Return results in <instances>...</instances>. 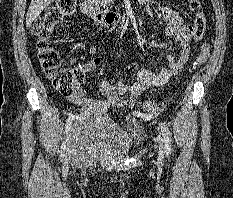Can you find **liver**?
Returning <instances> with one entry per match:
<instances>
[{"mask_svg":"<svg viewBox=\"0 0 233 198\" xmlns=\"http://www.w3.org/2000/svg\"><path fill=\"white\" fill-rule=\"evenodd\" d=\"M53 1L54 0H31V4L26 15V27H30L40 13Z\"/></svg>","mask_w":233,"mask_h":198,"instance_id":"6515ba94","label":"liver"}]
</instances>
